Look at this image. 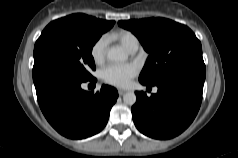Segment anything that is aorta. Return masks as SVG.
I'll list each match as a JSON object with an SVG mask.
<instances>
[{
  "label": "aorta",
  "instance_id": "1",
  "mask_svg": "<svg viewBox=\"0 0 238 158\" xmlns=\"http://www.w3.org/2000/svg\"><path fill=\"white\" fill-rule=\"evenodd\" d=\"M107 58L110 61L118 62V61H125L128 58V55L120 48H111L107 52ZM136 95L134 92H127L123 96V101L127 105H134L136 103Z\"/></svg>",
  "mask_w": 238,
  "mask_h": 158
}]
</instances>
